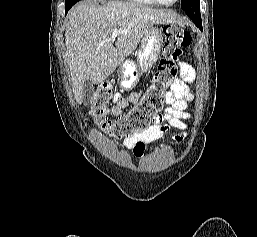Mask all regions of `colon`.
Listing matches in <instances>:
<instances>
[{"mask_svg": "<svg viewBox=\"0 0 257 237\" xmlns=\"http://www.w3.org/2000/svg\"><path fill=\"white\" fill-rule=\"evenodd\" d=\"M164 40L163 58L158 64L153 81L140 102L128 113L117 119H110L109 105L115 100L114 87L110 82H104L96 89L90 114L94 123L110 137L121 139L142 132L162 110L165 90L176 76L178 60L190 45L192 37L184 29L169 26L164 30Z\"/></svg>", "mask_w": 257, "mask_h": 237, "instance_id": "5ec220e1", "label": "colon"}]
</instances>
